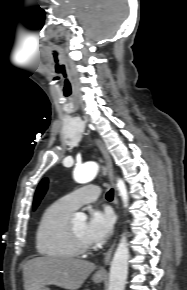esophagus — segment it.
<instances>
[{"label": "esophagus", "mask_w": 187, "mask_h": 290, "mask_svg": "<svg viewBox=\"0 0 187 290\" xmlns=\"http://www.w3.org/2000/svg\"><path fill=\"white\" fill-rule=\"evenodd\" d=\"M96 144L99 148V150L102 153V156L104 158L105 164H106V171L108 173V176L112 182V185L115 186L114 184V178H113V166H112V159L111 156L107 150V148L105 147V145L103 144V142L100 139H96ZM114 201L115 204L118 205V198H117V193H116V189H115V197H114ZM114 246H115V240L113 242V244L110 246V248L108 249V251L105 254V259H104V264L108 265V263L110 262L113 250H114ZM98 274L99 275H106V269L105 267H102L98 270Z\"/></svg>", "instance_id": "obj_1"}]
</instances>
